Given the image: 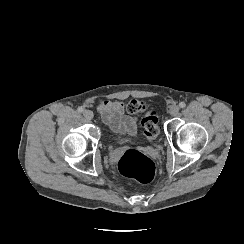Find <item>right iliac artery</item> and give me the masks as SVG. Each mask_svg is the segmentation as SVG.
I'll return each instance as SVG.
<instances>
[{
	"label": "right iliac artery",
	"mask_w": 244,
	"mask_h": 244,
	"mask_svg": "<svg viewBox=\"0 0 244 244\" xmlns=\"http://www.w3.org/2000/svg\"><path fill=\"white\" fill-rule=\"evenodd\" d=\"M77 110H78V112H80V113L84 111V109H83L82 107H78Z\"/></svg>",
	"instance_id": "right-iliac-artery-1"
}]
</instances>
